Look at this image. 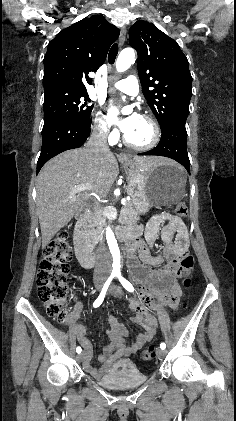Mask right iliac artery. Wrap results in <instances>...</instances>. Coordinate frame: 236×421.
I'll list each match as a JSON object with an SVG mask.
<instances>
[{
	"label": "right iliac artery",
	"instance_id": "obj_1",
	"mask_svg": "<svg viewBox=\"0 0 236 421\" xmlns=\"http://www.w3.org/2000/svg\"><path fill=\"white\" fill-rule=\"evenodd\" d=\"M115 276H116V274H115V273H111V275L109 276V278H108V279H107V281L105 282V284H104V286H103V288H102V290H101L100 295L98 296V298H97V299L95 300V302L93 303V307L97 308V307H99V306L102 304V302H103V300H104V297H105V295H106L107 289H108V287H109V285H110V283H111L112 279H113ZM81 351H82L81 347H77V348H76V352H77V353H81Z\"/></svg>",
	"mask_w": 236,
	"mask_h": 421
}]
</instances>
